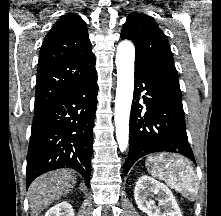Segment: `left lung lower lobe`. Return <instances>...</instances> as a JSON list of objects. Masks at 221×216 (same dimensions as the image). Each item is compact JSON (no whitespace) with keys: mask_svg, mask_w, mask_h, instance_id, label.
Segmentation results:
<instances>
[{"mask_svg":"<svg viewBox=\"0 0 221 216\" xmlns=\"http://www.w3.org/2000/svg\"><path fill=\"white\" fill-rule=\"evenodd\" d=\"M147 111L139 104L141 92ZM130 114L129 157L126 175L141 157L154 152H175L195 163L187 139L183 106L178 103L161 75L135 62L134 101Z\"/></svg>","mask_w":221,"mask_h":216,"instance_id":"0a47b994","label":"left lung lower lobe"}]
</instances>
